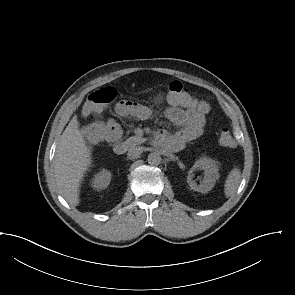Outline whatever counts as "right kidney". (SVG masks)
<instances>
[{
    "label": "right kidney",
    "instance_id": "right-kidney-1",
    "mask_svg": "<svg viewBox=\"0 0 295 295\" xmlns=\"http://www.w3.org/2000/svg\"><path fill=\"white\" fill-rule=\"evenodd\" d=\"M110 181L111 173L108 170L103 169L94 176L92 186L96 190H102L108 187Z\"/></svg>",
    "mask_w": 295,
    "mask_h": 295
}]
</instances>
